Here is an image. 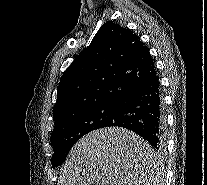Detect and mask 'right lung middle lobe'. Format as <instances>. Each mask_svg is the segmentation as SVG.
<instances>
[{"mask_svg":"<svg viewBox=\"0 0 207 185\" xmlns=\"http://www.w3.org/2000/svg\"><path fill=\"white\" fill-rule=\"evenodd\" d=\"M120 104L110 103L69 116L55 124L52 132V166L61 165L72 146L85 134L116 120Z\"/></svg>","mask_w":207,"mask_h":185,"instance_id":"right-lung-middle-lobe-1","label":"right lung middle lobe"}]
</instances>
